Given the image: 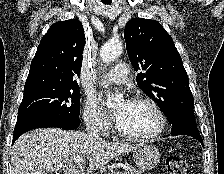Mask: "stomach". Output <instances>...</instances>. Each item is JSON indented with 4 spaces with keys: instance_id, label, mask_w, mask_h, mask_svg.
I'll return each mask as SVG.
<instances>
[{
    "instance_id": "obj_1",
    "label": "stomach",
    "mask_w": 224,
    "mask_h": 174,
    "mask_svg": "<svg viewBox=\"0 0 224 174\" xmlns=\"http://www.w3.org/2000/svg\"><path fill=\"white\" fill-rule=\"evenodd\" d=\"M160 154L156 147L148 144H139L133 151V160L140 170H150L159 162Z\"/></svg>"
}]
</instances>
